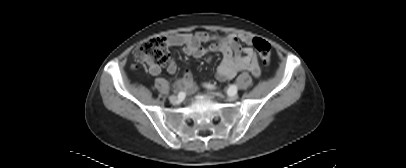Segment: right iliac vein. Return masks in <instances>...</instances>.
Returning a JSON list of instances; mask_svg holds the SVG:
<instances>
[{"label": "right iliac vein", "instance_id": "1", "mask_svg": "<svg viewBox=\"0 0 406 168\" xmlns=\"http://www.w3.org/2000/svg\"><path fill=\"white\" fill-rule=\"evenodd\" d=\"M169 100H170L171 103H176L177 100H178V97L176 95H171L169 97Z\"/></svg>", "mask_w": 406, "mask_h": 168}]
</instances>
